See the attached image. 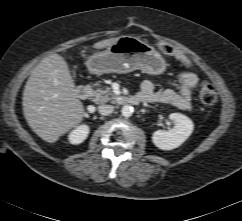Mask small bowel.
Masks as SVG:
<instances>
[{
  "instance_id": "1",
  "label": "small bowel",
  "mask_w": 242,
  "mask_h": 221,
  "mask_svg": "<svg viewBox=\"0 0 242 221\" xmlns=\"http://www.w3.org/2000/svg\"><path fill=\"white\" fill-rule=\"evenodd\" d=\"M178 91L172 89L158 90L150 80H144L141 84L139 96L143 101L149 103H165L182 109L191 107L193 95L199 77L196 73L182 71L177 74Z\"/></svg>"
}]
</instances>
